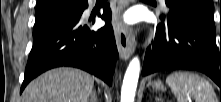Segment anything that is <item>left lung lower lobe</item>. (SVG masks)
<instances>
[{"mask_svg": "<svg viewBox=\"0 0 221 102\" xmlns=\"http://www.w3.org/2000/svg\"><path fill=\"white\" fill-rule=\"evenodd\" d=\"M175 69L201 71L221 89V47L215 41V27L187 11H171L158 24L142 74Z\"/></svg>", "mask_w": 221, "mask_h": 102, "instance_id": "0a47b994", "label": "left lung lower lobe"}]
</instances>
